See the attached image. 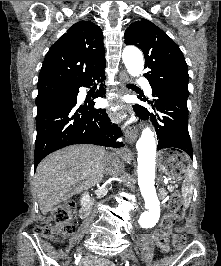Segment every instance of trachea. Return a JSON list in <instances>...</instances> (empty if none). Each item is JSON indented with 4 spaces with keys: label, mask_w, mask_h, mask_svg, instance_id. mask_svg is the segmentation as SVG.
Returning <instances> with one entry per match:
<instances>
[{
    "label": "trachea",
    "mask_w": 221,
    "mask_h": 266,
    "mask_svg": "<svg viewBox=\"0 0 221 266\" xmlns=\"http://www.w3.org/2000/svg\"><path fill=\"white\" fill-rule=\"evenodd\" d=\"M127 86H133V85L128 84Z\"/></svg>",
    "instance_id": "3493384b"
}]
</instances>
